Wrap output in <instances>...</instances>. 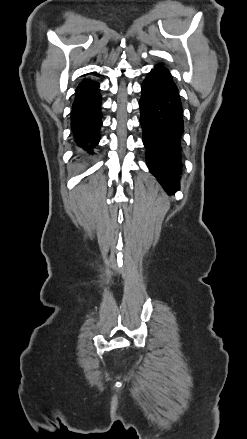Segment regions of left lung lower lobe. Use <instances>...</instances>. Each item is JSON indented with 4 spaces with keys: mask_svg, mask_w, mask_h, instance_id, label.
I'll use <instances>...</instances> for the list:
<instances>
[{
    "mask_svg": "<svg viewBox=\"0 0 247 439\" xmlns=\"http://www.w3.org/2000/svg\"><path fill=\"white\" fill-rule=\"evenodd\" d=\"M172 75L162 65L152 69L141 85L140 123L146 161L151 173L171 194L180 189L182 106Z\"/></svg>",
    "mask_w": 247,
    "mask_h": 439,
    "instance_id": "0a47b994",
    "label": "left lung lower lobe"
}]
</instances>
